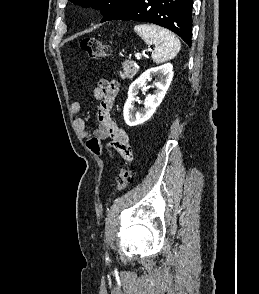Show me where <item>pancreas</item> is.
I'll return each mask as SVG.
<instances>
[{"label": "pancreas", "instance_id": "1", "mask_svg": "<svg viewBox=\"0 0 259 294\" xmlns=\"http://www.w3.org/2000/svg\"><path fill=\"white\" fill-rule=\"evenodd\" d=\"M137 72L138 68L135 62L132 60H126L123 62V72H120V77L122 79H131L136 75Z\"/></svg>", "mask_w": 259, "mask_h": 294}]
</instances>
